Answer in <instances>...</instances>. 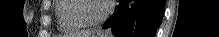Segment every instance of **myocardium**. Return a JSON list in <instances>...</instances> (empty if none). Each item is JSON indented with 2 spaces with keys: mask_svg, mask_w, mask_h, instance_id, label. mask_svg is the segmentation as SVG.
I'll return each mask as SVG.
<instances>
[{
  "mask_svg": "<svg viewBox=\"0 0 219 37\" xmlns=\"http://www.w3.org/2000/svg\"><path fill=\"white\" fill-rule=\"evenodd\" d=\"M88 1H101V0H77L75 7V16L86 27L99 26L108 18L110 14V10H111L110 3L108 1H104L103 2L104 10L102 14L98 18L92 20V19H88L83 12L84 3Z\"/></svg>",
  "mask_w": 219,
  "mask_h": 37,
  "instance_id": "f54148a6",
  "label": "myocardium"
}]
</instances>
